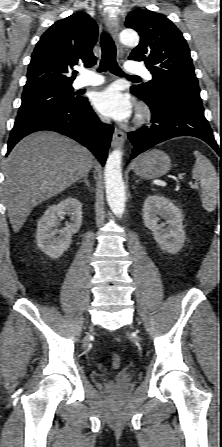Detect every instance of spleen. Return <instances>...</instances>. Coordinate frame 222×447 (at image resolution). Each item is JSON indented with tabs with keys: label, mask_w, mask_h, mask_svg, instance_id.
<instances>
[{
	"label": "spleen",
	"mask_w": 222,
	"mask_h": 447,
	"mask_svg": "<svg viewBox=\"0 0 222 447\" xmlns=\"http://www.w3.org/2000/svg\"><path fill=\"white\" fill-rule=\"evenodd\" d=\"M196 162L192 170V177L200 182L201 200L205 210L215 209L220 188L219 176L209 159L198 151H194Z\"/></svg>",
	"instance_id": "spleen-1"
}]
</instances>
